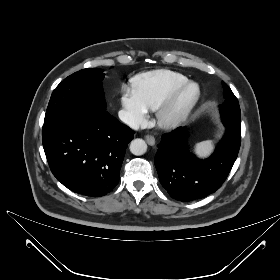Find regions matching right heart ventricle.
<instances>
[{"instance_id":"right-heart-ventricle-1","label":"right heart ventricle","mask_w":280,"mask_h":280,"mask_svg":"<svg viewBox=\"0 0 280 280\" xmlns=\"http://www.w3.org/2000/svg\"><path fill=\"white\" fill-rule=\"evenodd\" d=\"M187 81L185 75L167 69L142 72L131 79L132 89L147 110H155L177 86Z\"/></svg>"}]
</instances>
